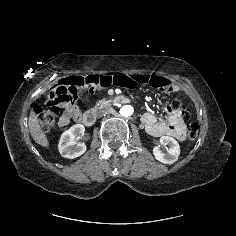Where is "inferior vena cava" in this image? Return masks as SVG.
Instances as JSON below:
<instances>
[{
	"label": "inferior vena cava",
	"mask_w": 236,
	"mask_h": 236,
	"mask_svg": "<svg viewBox=\"0 0 236 236\" xmlns=\"http://www.w3.org/2000/svg\"><path fill=\"white\" fill-rule=\"evenodd\" d=\"M102 115V112H98L97 116L100 117Z\"/></svg>",
	"instance_id": "602c4592"
}]
</instances>
